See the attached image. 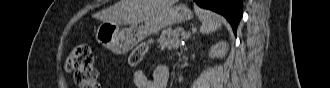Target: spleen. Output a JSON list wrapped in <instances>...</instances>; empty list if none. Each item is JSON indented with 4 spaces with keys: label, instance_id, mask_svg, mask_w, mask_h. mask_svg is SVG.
Wrapping results in <instances>:
<instances>
[{
    "label": "spleen",
    "instance_id": "obj_1",
    "mask_svg": "<svg viewBox=\"0 0 330 88\" xmlns=\"http://www.w3.org/2000/svg\"><path fill=\"white\" fill-rule=\"evenodd\" d=\"M199 17L202 21L200 32L203 34L214 32L221 27L223 18L216 13L207 10H201L199 11Z\"/></svg>",
    "mask_w": 330,
    "mask_h": 88
}]
</instances>
